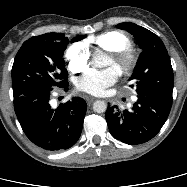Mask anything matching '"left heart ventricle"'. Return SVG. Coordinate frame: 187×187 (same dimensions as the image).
I'll return each instance as SVG.
<instances>
[{
    "label": "left heart ventricle",
    "mask_w": 187,
    "mask_h": 187,
    "mask_svg": "<svg viewBox=\"0 0 187 187\" xmlns=\"http://www.w3.org/2000/svg\"><path fill=\"white\" fill-rule=\"evenodd\" d=\"M107 65H108V66L115 67V68H117V69H118V67H117V65H116L115 61L112 59V57H109V58H108Z\"/></svg>",
    "instance_id": "1"
}]
</instances>
